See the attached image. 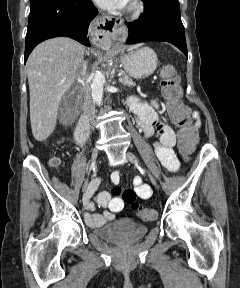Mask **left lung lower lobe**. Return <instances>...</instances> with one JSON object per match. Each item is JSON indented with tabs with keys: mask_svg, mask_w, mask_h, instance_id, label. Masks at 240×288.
<instances>
[{
	"mask_svg": "<svg viewBox=\"0 0 240 288\" xmlns=\"http://www.w3.org/2000/svg\"><path fill=\"white\" fill-rule=\"evenodd\" d=\"M143 15L126 23L129 35L127 44L142 41H166L177 46L188 57L184 26L178 0H142Z\"/></svg>",
	"mask_w": 240,
	"mask_h": 288,
	"instance_id": "1",
	"label": "left lung lower lobe"
}]
</instances>
